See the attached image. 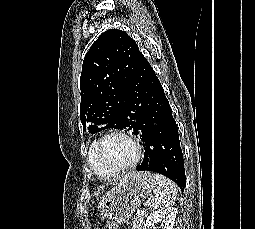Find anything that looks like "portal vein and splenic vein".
<instances>
[{
	"instance_id": "portal-vein-and-splenic-vein-1",
	"label": "portal vein and splenic vein",
	"mask_w": 255,
	"mask_h": 229,
	"mask_svg": "<svg viewBox=\"0 0 255 229\" xmlns=\"http://www.w3.org/2000/svg\"><path fill=\"white\" fill-rule=\"evenodd\" d=\"M137 212H138L139 214H142V215L144 214V211H142V210H138Z\"/></svg>"
}]
</instances>
